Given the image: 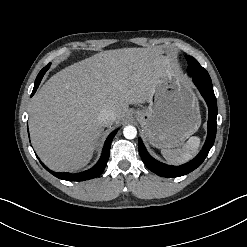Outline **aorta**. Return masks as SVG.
<instances>
[{
    "instance_id": "762f6f07",
    "label": "aorta",
    "mask_w": 247,
    "mask_h": 247,
    "mask_svg": "<svg viewBox=\"0 0 247 247\" xmlns=\"http://www.w3.org/2000/svg\"><path fill=\"white\" fill-rule=\"evenodd\" d=\"M123 135L126 139H134L137 135V130L134 126H126L123 130Z\"/></svg>"
}]
</instances>
